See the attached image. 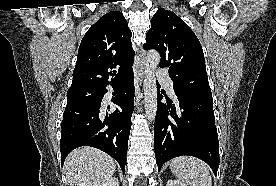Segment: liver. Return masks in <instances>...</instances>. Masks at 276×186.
Listing matches in <instances>:
<instances>
[{
	"mask_svg": "<svg viewBox=\"0 0 276 186\" xmlns=\"http://www.w3.org/2000/svg\"><path fill=\"white\" fill-rule=\"evenodd\" d=\"M64 169L70 186H102L116 170V162L106 153L92 147L73 150Z\"/></svg>",
	"mask_w": 276,
	"mask_h": 186,
	"instance_id": "obj_1",
	"label": "liver"
}]
</instances>
